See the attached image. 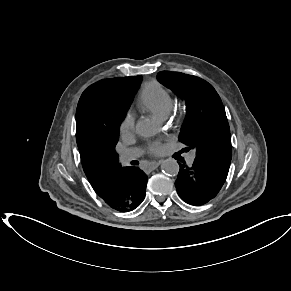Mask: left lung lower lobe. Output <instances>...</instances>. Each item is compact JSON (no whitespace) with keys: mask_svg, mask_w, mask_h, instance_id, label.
I'll return each instance as SVG.
<instances>
[{"mask_svg":"<svg viewBox=\"0 0 291 291\" xmlns=\"http://www.w3.org/2000/svg\"><path fill=\"white\" fill-rule=\"evenodd\" d=\"M179 165L176 190L180 198L190 205H203L213 199L227 178V175L196 159L191 167Z\"/></svg>","mask_w":291,"mask_h":291,"instance_id":"left-lung-lower-lobe-1","label":"left lung lower lobe"}]
</instances>
